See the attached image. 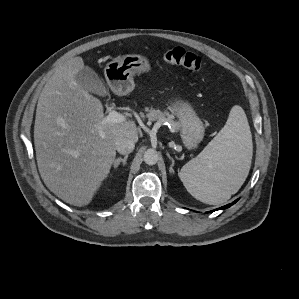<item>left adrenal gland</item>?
I'll use <instances>...</instances> for the list:
<instances>
[{"mask_svg": "<svg viewBox=\"0 0 299 299\" xmlns=\"http://www.w3.org/2000/svg\"><path fill=\"white\" fill-rule=\"evenodd\" d=\"M167 156L169 157V159L171 160V162H172V164L170 165V172H174V170H173V166H174V160H173V158L169 155V154H167Z\"/></svg>", "mask_w": 299, "mask_h": 299, "instance_id": "left-adrenal-gland-1", "label": "left adrenal gland"}]
</instances>
